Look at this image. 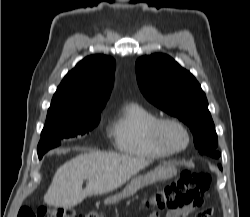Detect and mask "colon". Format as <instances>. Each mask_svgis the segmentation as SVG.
<instances>
[{
    "instance_id": "1",
    "label": "colon",
    "mask_w": 250,
    "mask_h": 217,
    "mask_svg": "<svg viewBox=\"0 0 250 217\" xmlns=\"http://www.w3.org/2000/svg\"><path fill=\"white\" fill-rule=\"evenodd\" d=\"M211 176L207 172L185 170L177 180L164 186L150 199V204L170 213L194 207L202 208V196L209 189ZM207 212L211 217V209H201L197 215ZM17 217H101L97 212L76 215L63 208H41L34 211L28 207L20 208Z\"/></svg>"
}]
</instances>
